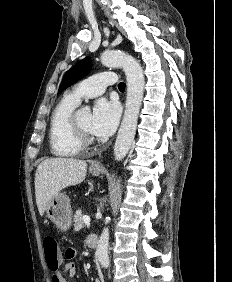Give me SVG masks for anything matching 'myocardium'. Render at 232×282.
<instances>
[{"instance_id":"obj_1","label":"myocardium","mask_w":232,"mask_h":282,"mask_svg":"<svg viewBox=\"0 0 232 282\" xmlns=\"http://www.w3.org/2000/svg\"><path fill=\"white\" fill-rule=\"evenodd\" d=\"M79 109H75L69 117V125L72 132L73 137L75 140L81 144V146H87L94 142V137L85 131L78 121V113Z\"/></svg>"}]
</instances>
